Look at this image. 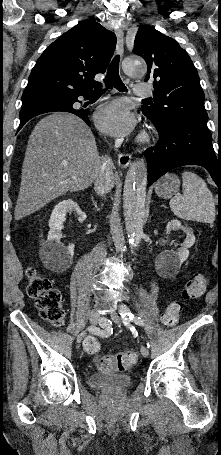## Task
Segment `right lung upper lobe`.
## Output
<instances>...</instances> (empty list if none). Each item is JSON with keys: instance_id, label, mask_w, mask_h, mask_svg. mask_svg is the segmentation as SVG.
I'll use <instances>...</instances> for the list:
<instances>
[{"instance_id": "right-lung-upper-lobe-1", "label": "right lung upper lobe", "mask_w": 221, "mask_h": 455, "mask_svg": "<svg viewBox=\"0 0 221 455\" xmlns=\"http://www.w3.org/2000/svg\"><path fill=\"white\" fill-rule=\"evenodd\" d=\"M116 36L95 21H85L64 33L39 57L22 95V108L62 102L86 89L104 73L113 55Z\"/></svg>"}]
</instances>
